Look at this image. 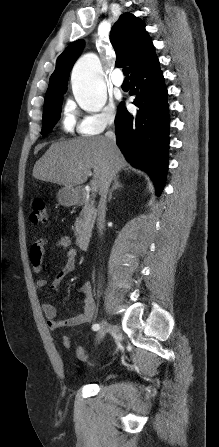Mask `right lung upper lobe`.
Masks as SVG:
<instances>
[{"label":"right lung upper lobe","mask_w":219,"mask_h":447,"mask_svg":"<svg viewBox=\"0 0 219 447\" xmlns=\"http://www.w3.org/2000/svg\"><path fill=\"white\" fill-rule=\"evenodd\" d=\"M110 41L116 52V66L128 65L130 77L152 63L157 57L145 23L130 13H124L113 26ZM84 46L82 40L71 43L56 61L45 99L65 93L69 72Z\"/></svg>","instance_id":"obj_1"}]
</instances>
